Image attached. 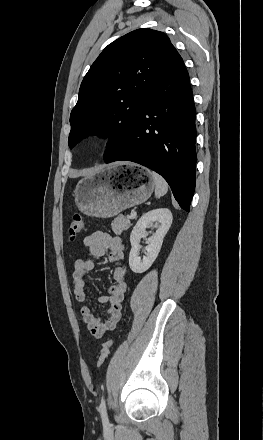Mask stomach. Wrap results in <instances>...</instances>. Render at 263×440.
<instances>
[{
  "instance_id": "1",
  "label": "stomach",
  "mask_w": 263,
  "mask_h": 440,
  "mask_svg": "<svg viewBox=\"0 0 263 440\" xmlns=\"http://www.w3.org/2000/svg\"><path fill=\"white\" fill-rule=\"evenodd\" d=\"M126 171L108 166L82 178L74 190L78 209L88 216L110 218L145 202L155 188L151 171L135 165Z\"/></svg>"
}]
</instances>
